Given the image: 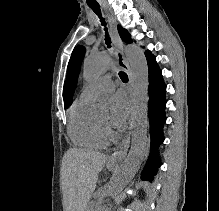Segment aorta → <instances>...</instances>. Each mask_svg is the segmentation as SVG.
<instances>
[{"instance_id":"aorta-1","label":"aorta","mask_w":219,"mask_h":211,"mask_svg":"<svg viewBox=\"0 0 219 211\" xmlns=\"http://www.w3.org/2000/svg\"><path fill=\"white\" fill-rule=\"evenodd\" d=\"M125 55L131 69V119L134 125L131 147L120 170L111 180L108 194L114 197L120 193L140 169L147 146L148 131V65L143 51L135 45L125 47ZM110 64V55L104 51L88 56L83 65V78L92 81L100 76ZM107 105L96 103L93 111L102 116Z\"/></svg>"}]
</instances>
